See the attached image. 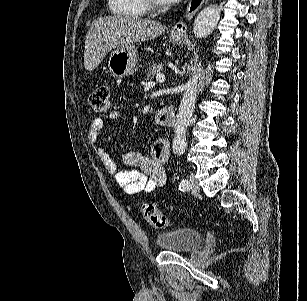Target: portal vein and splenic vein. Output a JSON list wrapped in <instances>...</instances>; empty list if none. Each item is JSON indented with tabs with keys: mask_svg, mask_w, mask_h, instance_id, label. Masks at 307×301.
I'll return each mask as SVG.
<instances>
[{
	"mask_svg": "<svg viewBox=\"0 0 307 301\" xmlns=\"http://www.w3.org/2000/svg\"><path fill=\"white\" fill-rule=\"evenodd\" d=\"M164 80H165V74H161V72H160V74H156L155 80H153V82L151 80L150 84H151V86H155V84H157V82H164Z\"/></svg>",
	"mask_w": 307,
	"mask_h": 301,
	"instance_id": "1",
	"label": "portal vein and splenic vein"
}]
</instances>
